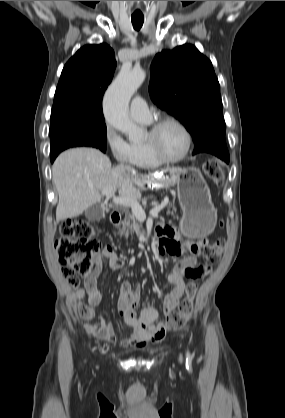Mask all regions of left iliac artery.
<instances>
[{
	"mask_svg": "<svg viewBox=\"0 0 285 418\" xmlns=\"http://www.w3.org/2000/svg\"><path fill=\"white\" fill-rule=\"evenodd\" d=\"M191 360H192V357H191L190 353H189V352H187V358H186V368H187V370H188L189 372H191V370H192V367H191Z\"/></svg>",
	"mask_w": 285,
	"mask_h": 418,
	"instance_id": "left-iliac-artery-1",
	"label": "left iliac artery"
}]
</instances>
